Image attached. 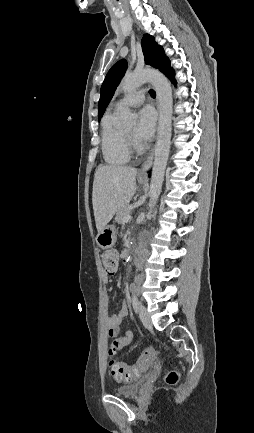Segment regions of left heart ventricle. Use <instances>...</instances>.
I'll list each match as a JSON object with an SVG mask.
<instances>
[{
  "label": "left heart ventricle",
  "mask_w": 254,
  "mask_h": 433,
  "mask_svg": "<svg viewBox=\"0 0 254 433\" xmlns=\"http://www.w3.org/2000/svg\"><path fill=\"white\" fill-rule=\"evenodd\" d=\"M125 132L131 136H134V127L131 126V127L125 128Z\"/></svg>",
  "instance_id": "b2bd125f"
}]
</instances>
